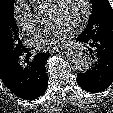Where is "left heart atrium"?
<instances>
[{
	"mask_svg": "<svg viewBox=\"0 0 113 113\" xmlns=\"http://www.w3.org/2000/svg\"><path fill=\"white\" fill-rule=\"evenodd\" d=\"M74 27L64 21H56L42 28L34 37V45L41 51H54L66 46Z\"/></svg>",
	"mask_w": 113,
	"mask_h": 113,
	"instance_id": "39dd6f15",
	"label": "left heart atrium"
}]
</instances>
